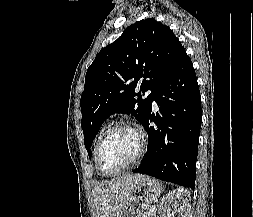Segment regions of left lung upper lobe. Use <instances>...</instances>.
<instances>
[{"label": "left lung upper lobe", "instance_id": "5c2ea615", "mask_svg": "<svg viewBox=\"0 0 253 217\" xmlns=\"http://www.w3.org/2000/svg\"><path fill=\"white\" fill-rule=\"evenodd\" d=\"M185 53L173 31L150 18L130 25L97 54L81 96V126L89 158L91 144L111 114L131 113L143 122L154 92ZM137 86L142 92H152L142 99L140 92L135 93Z\"/></svg>", "mask_w": 253, "mask_h": 217}]
</instances>
